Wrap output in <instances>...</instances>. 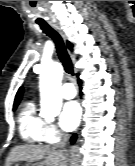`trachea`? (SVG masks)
Here are the masks:
<instances>
[{
	"label": "trachea",
	"mask_w": 135,
	"mask_h": 166,
	"mask_svg": "<svg viewBox=\"0 0 135 166\" xmlns=\"http://www.w3.org/2000/svg\"><path fill=\"white\" fill-rule=\"evenodd\" d=\"M39 26L43 30V32L46 33L49 37H51L55 42L58 57L62 62L66 73L73 75L74 72H73L72 61L66 50L62 37L47 23H39Z\"/></svg>",
	"instance_id": "3493384b"
}]
</instances>
